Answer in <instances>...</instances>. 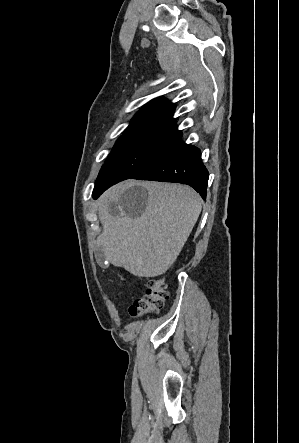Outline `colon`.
<instances>
[{"label": "colon", "mask_w": 299, "mask_h": 443, "mask_svg": "<svg viewBox=\"0 0 299 443\" xmlns=\"http://www.w3.org/2000/svg\"><path fill=\"white\" fill-rule=\"evenodd\" d=\"M167 298L164 280L152 278L147 282V288L143 296L137 298L129 307L132 317H140L152 312H158Z\"/></svg>", "instance_id": "1"}]
</instances>
